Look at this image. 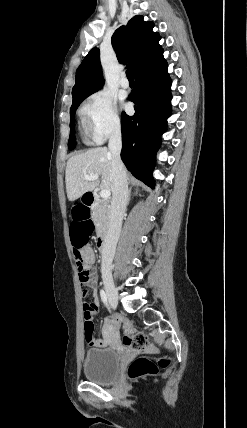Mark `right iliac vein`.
Wrapping results in <instances>:
<instances>
[{"label":"right iliac vein","mask_w":247,"mask_h":428,"mask_svg":"<svg viewBox=\"0 0 247 428\" xmlns=\"http://www.w3.org/2000/svg\"><path fill=\"white\" fill-rule=\"evenodd\" d=\"M103 281H104V286H105L109 303L112 308H116L118 304V292L114 285L111 275L108 273H105L103 275Z\"/></svg>","instance_id":"63e3f726"}]
</instances>
